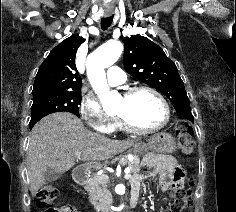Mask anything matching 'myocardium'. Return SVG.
I'll return each mask as SVG.
<instances>
[{
	"mask_svg": "<svg viewBox=\"0 0 236 212\" xmlns=\"http://www.w3.org/2000/svg\"><path fill=\"white\" fill-rule=\"evenodd\" d=\"M140 91L149 92V93L153 94L154 96H156L160 100V102L162 103L164 110H165V118H164L163 122L153 128H140V127H137L136 125H134L132 122H130V120L128 118H126L125 116H123L121 114L116 115L117 120L125 131L133 133V134L145 135V134H152V133L158 132V131L162 130L163 128H165L171 120L170 105H169L168 101L166 100V98L162 95L161 92H159L157 89H155L151 86H148V85H134V86L128 87L124 91L123 97L130 98Z\"/></svg>",
	"mask_w": 236,
	"mask_h": 212,
	"instance_id": "myocardium-1",
	"label": "myocardium"
}]
</instances>
